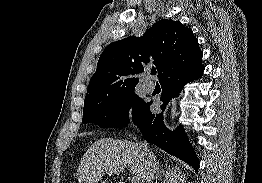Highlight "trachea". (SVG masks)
<instances>
[{
	"mask_svg": "<svg viewBox=\"0 0 262 183\" xmlns=\"http://www.w3.org/2000/svg\"><path fill=\"white\" fill-rule=\"evenodd\" d=\"M151 74H152V75H156V70H152V71H151Z\"/></svg>",
	"mask_w": 262,
	"mask_h": 183,
	"instance_id": "1",
	"label": "trachea"
}]
</instances>
